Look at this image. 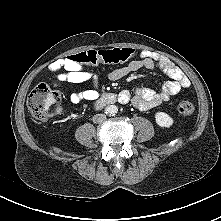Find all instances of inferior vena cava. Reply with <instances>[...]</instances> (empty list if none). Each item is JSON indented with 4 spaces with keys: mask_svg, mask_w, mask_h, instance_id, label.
Instances as JSON below:
<instances>
[{
    "mask_svg": "<svg viewBox=\"0 0 221 221\" xmlns=\"http://www.w3.org/2000/svg\"><path fill=\"white\" fill-rule=\"evenodd\" d=\"M106 120L105 114H96L93 116V122L94 123H102Z\"/></svg>",
    "mask_w": 221,
    "mask_h": 221,
    "instance_id": "inferior-vena-cava-1",
    "label": "inferior vena cava"
}]
</instances>
